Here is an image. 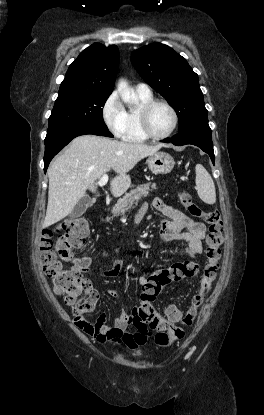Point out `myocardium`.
<instances>
[{"mask_svg": "<svg viewBox=\"0 0 264 415\" xmlns=\"http://www.w3.org/2000/svg\"><path fill=\"white\" fill-rule=\"evenodd\" d=\"M163 105L170 110L173 116V123L171 128L163 135H156L154 134L149 125V114L151 110L158 106ZM138 118H139V125L141 133L147 138L151 140H163L170 137L174 131L176 130L178 123H179V116L176 109L167 101L159 100V99H152L151 101L142 104L138 109Z\"/></svg>", "mask_w": 264, "mask_h": 415, "instance_id": "myocardium-1", "label": "myocardium"}]
</instances>
